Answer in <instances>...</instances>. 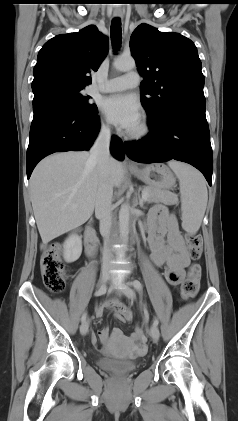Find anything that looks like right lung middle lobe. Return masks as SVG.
I'll return each instance as SVG.
<instances>
[{
	"mask_svg": "<svg viewBox=\"0 0 238 421\" xmlns=\"http://www.w3.org/2000/svg\"><path fill=\"white\" fill-rule=\"evenodd\" d=\"M83 89L84 87L59 82H47L32 86L34 99L43 95H53L67 101L82 113L94 114L97 112V106L88 101L89 96L82 94Z\"/></svg>",
	"mask_w": 238,
	"mask_h": 421,
	"instance_id": "right-lung-middle-lobe-1",
	"label": "right lung middle lobe"
}]
</instances>
